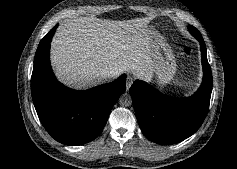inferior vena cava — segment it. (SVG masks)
Listing matches in <instances>:
<instances>
[{
	"instance_id": "602c4592",
	"label": "inferior vena cava",
	"mask_w": 237,
	"mask_h": 169,
	"mask_svg": "<svg viewBox=\"0 0 237 169\" xmlns=\"http://www.w3.org/2000/svg\"><path fill=\"white\" fill-rule=\"evenodd\" d=\"M118 75V71L114 69H105L100 72V77L102 80L107 81L112 78H115Z\"/></svg>"
}]
</instances>
